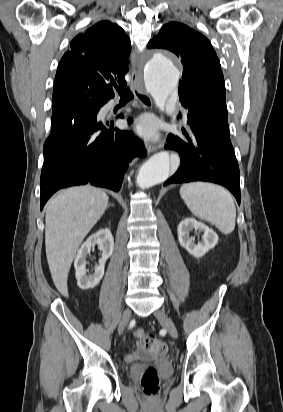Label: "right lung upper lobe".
I'll return each instance as SVG.
<instances>
[{"label": "right lung upper lobe", "mask_w": 283, "mask_h": 412, "mask_svg": "<svg viewBox=\"0 0 283 412\" xmlns=\"http://www.w3.org/2000/svg\"><path fill=\"white\" fill-rule=\"evenodd\" d=\"M131 51L123 29L101 21L71 42L55 76L52 114L81 101L102 103L114 97L112 85L125 86Z\"/></svg>", "instance_id": "cb5924a9"}]
</instances>
